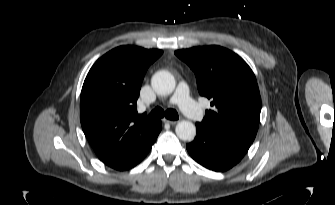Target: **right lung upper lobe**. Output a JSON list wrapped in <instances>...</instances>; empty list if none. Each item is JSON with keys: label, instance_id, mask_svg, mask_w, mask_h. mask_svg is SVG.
Wrapping results in <instances>:
<instances>
[{"label": "right lung upper lobe", "instance_id": "right-lung-upper-lobe-1", "mask_svg": "<svg viewBox=\"0 0 335 205\" xmlns=\"http://www.w3.org/2000/svg\"><path fill=\"white\" fill-rule=\"evenodd\" d=\"M162 50L117 47L98 59L88 72L80 98L83 132L102 160L138 153L161 131V121L137 114L144 75Z\"/></svg>", "mask_w": 335, "mask_h": 205}]
</instances>
